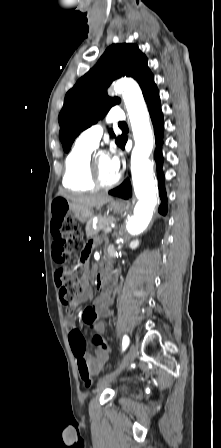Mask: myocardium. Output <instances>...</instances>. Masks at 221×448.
Listing matches in <instances>:
<instances>
[{
    "mask_svg": "<svg viewBox=\"0 0 221 448\" xmlns=\"http://www.w3.org/2000/svg\"><path fill=\"white\" fill-rule=\"evenodd\" d=\"M89 169H90V178L93 184L98 188H111L115 186L119 182V175L112 181L106 182L104 181L98 172L97 165L95 162V157H90L89 161Z\"/></svg>",
    "mask_w": 221,
    "mask_h": 448,
    "instance_id": "obj_1",
    "label": "myocardium"
}]
</instances>
